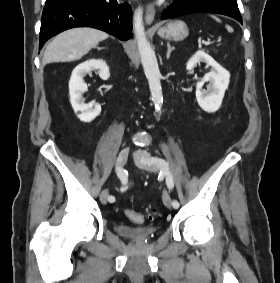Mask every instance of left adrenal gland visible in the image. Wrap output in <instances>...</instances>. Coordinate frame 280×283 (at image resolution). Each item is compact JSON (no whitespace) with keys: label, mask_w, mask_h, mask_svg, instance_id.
<instances>
[{"label":"left adrenal gland","mask_w":280,"mask_h":283,"mask_svg":"<svg viewBox=\"0 0 280 283\" xmlns=\"http://www.w3.org/2000/svg\"><path fill=\"white\" fill-rule=\"evenodd\" d=\"M174 50V47H171L170 43H167V54L166 57L169 59L171 52Z\"/></svg>","instance_id":"a2214340"}]
</instances>
